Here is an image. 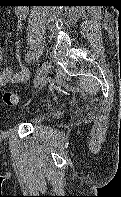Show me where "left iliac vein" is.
Segmentation results:
<instances>
[{
	"instance_id": "obj_1",
	"label": "left iliac vein",
	"mask_w": 121,
	"mask_h": 197,
	"mask_svg": "<svg viewBox=\"0 0 121 197\" xmlns=\"http://www.w3.org/2000/svg\"><path fill=\"white\" fill-rule=\"evenodd\" d=\"M50 68V64L48 61H44L37 70L35 79H34V87L38 88L46 78L48 71Z\"/></svg>"
}]
</instances>
